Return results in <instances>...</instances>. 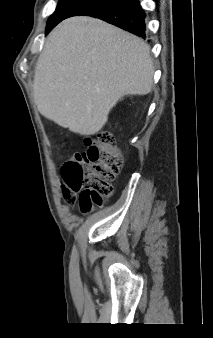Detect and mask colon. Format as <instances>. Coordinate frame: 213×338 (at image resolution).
<instances>
[{
	"label": "colon",
	"instance_id": "obj_1",
	"mask_svg": "<svg viewBox=\"0 0 213 338\" xmlns=\"http://www.w3.org/2000/svg\"><path fill=\"white\" fill-rule=\"evenodd\" d=\"M87 150L77 152L61 167L63 186L72 193H80L83 213L102 207L103 198L112 195V181L121 171L123 155L114 138L108 133L86 138Z\"/></svg>",
	"mask_w": 213,
	"mask_h": 338
}]
</instances>
